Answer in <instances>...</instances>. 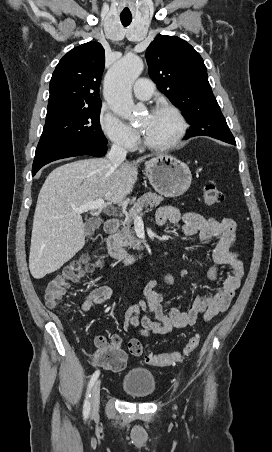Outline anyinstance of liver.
<instances>
[{
	"instance_id": "obj_1",
	"label": "liver",
	"mask_w": 272,
	"mask_h": 452,
	"mask_svg": "<svg viewBox=\"0 0 272 452\" xmlns=\"http://www.w3.org/2000/svg\"><path fill=\"white\" fill-rule=\"evenodd\" d=\"M113 165L89 158L55 168L38 195L33 219L29 269L35 279L60 269L85 244V224L75 209L102 198L121 202L137 181V165Z\"/></svg>"
}]
</instances>
